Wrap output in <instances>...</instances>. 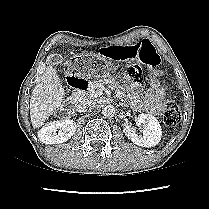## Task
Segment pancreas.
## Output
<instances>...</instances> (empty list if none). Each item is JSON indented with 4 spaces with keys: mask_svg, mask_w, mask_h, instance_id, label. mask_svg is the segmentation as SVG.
I'll return each mask as SVG.
<instances>
[{
    "mask_svg": "<svg viewBox=\"0 0 209 209\" xmlns=\"http://www.w3.org/2000/svg\"><path fill=\"white\" fill-rule=\"evenodd\" d=\"M110 82L111 84H115L114 81H110ZM101 86H102V83L98 81L91 82L88 91L84 93V97H89V98L99 97L102 94L100 90Z\"/></svg>",
    "mask_w": 209,
    "mask_h": 209,
    "instance_id": "obj_1",
    "label": "pancreas"
}]
</instances>
